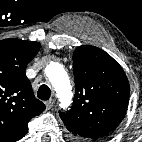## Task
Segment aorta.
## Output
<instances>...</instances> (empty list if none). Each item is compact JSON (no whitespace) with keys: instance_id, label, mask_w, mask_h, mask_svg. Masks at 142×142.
I'll return each mask as SVG.
<instances>
[{"instance_id":"aorta-1","label":"aorta","mask_w":142,"mask_h":142,"mask_svg":"<svg viewBox=\"0 0 142 142\" xmlns=\"http://www.w3.org/2000/svg\"><path fill=\"white\" fill-rule=\"evenodd\" d=\"M46 75L54 87L60 101L61 108H67L72 100V88L64 67L52 62L46 67Z\"/></svg>"}]
</instances>
